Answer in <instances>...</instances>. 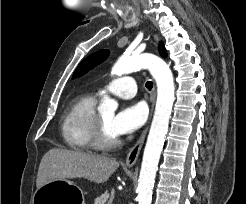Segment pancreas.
Instances as JSON below:
<instances>
[{
	"instance_id": "pancreas-1",
	"label": "pancreas",
	"mask_w": 246,
	"mask_h": 204,
	"mask_svg": "<svg viewBox=\"0 0 246 204\" xmlns=\"http://www.w3.org/2000/svg\"><path fill=\"white\" fill-rule=\"evenodd\" d=\"M111 197L108 192H105L101 196L95 199L94 204H111Z\"/></svg>"
}]
</instances>
